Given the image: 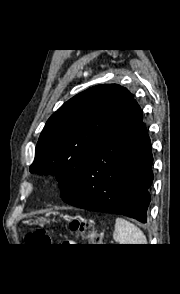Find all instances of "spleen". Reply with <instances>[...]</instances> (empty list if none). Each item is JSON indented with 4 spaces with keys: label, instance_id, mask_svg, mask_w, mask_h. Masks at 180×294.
<instances>
[{
    "label": "spleen",
    "instance_id": "obj_1",
    "mask_svg": "<svg viewBox=\"0 0 180 294\" xmlns=\"http://www.w3.org/2000/svg\"><path fill=\"white\" fill-rule=\"evenodd\" d=\"M113 239L118 244H147L144 233L137 226L121 217H117L115 220Z\"/></svg>",
    "mask_w": 180,
    "mask_h": 294
}]
</instances>
